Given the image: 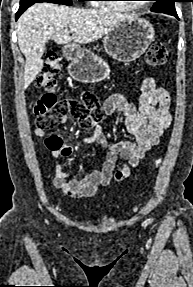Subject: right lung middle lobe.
<instances>
[{"label": "right lung middle lobe", "mask_w": 193, "mask_h": 287, "mask_svg": "<svg viewBox=\"0 0 193 287\" xmlns=\"http://www.w3.org/2000/svg\"><path fill=\"white\" fill-rule=\"evenodd\" d=\"M79 1H87V0H79ZM40 3V2H50V3H56V4H64L71 6L72 0H20V3Z\"/></svg>", "instance_id": "1"}]
</instances>
